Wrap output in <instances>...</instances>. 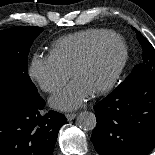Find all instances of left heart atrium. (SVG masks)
I'll return each instance as SVG.
<instances>
[{
  "instance_id": "1",
  "label": "left heart atrium",
  "mask_w": 155,
  "mask_h": 155,
  "mask_svg": "<svg viewBox=\"0 0 155 155\" xmlns=\"http://www.w3.org/2000/svg\"><path fill=\"white\" fill-rule=\"evenodd\" d=\"M90 95L91 92L87 88L74 80L60 94L52 97L50 103L57 109L73 110L80 107Z\"/></svg>"
}]
</instances>
